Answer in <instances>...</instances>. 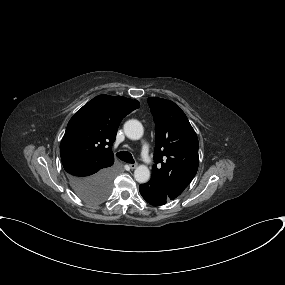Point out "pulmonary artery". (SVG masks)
Listing matches in <instances>:
<instances>
[{"label": "pulmonary artery", "mask_w": 285, "mask_h": 285, "mask_svg": "<svg viewBox=\"0 0 285 285\" xmlns=\"http://www.w3.org/2000/svg\"><path fill=\"white\" fill-rule=\"evenodd\" d=\"M141 158L147 165H150L152 163V157L150 155V148L147 144H144L141 148Z\"/></svg>", "instance_id": "e3ab8cb5"}]
</instances>
